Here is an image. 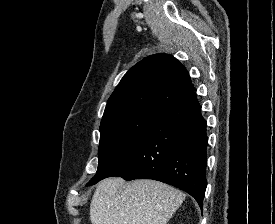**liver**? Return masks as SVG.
I'll return each instance as SVG.
<instances>
[{
	"label": "liver",
	"instance_id": "liver-1",
	"mask_svg": "<svg viewBox=\"0 0 275 224\" xmlns=\"http://www.w3.org/2000/svg\"><path fill=\"white\" fill-rule=\"evenodd\" d=\"M184 199V193L162 182L107 178L96 187L90 220L92 224H167Z\"/></svg>",
	"mask_w": 275,
	"mask_h": 224
}]
</instances>
